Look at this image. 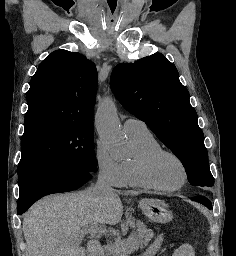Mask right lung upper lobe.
<instances>
[{
  "instance_id": "obj_1",
  "label": "right lung upper lobe",
  "mask_w": 236,
  "mask_h": 256,
  "mask_svg": "<svg viewBox=\"0 0 236 256\" xmlns=\"http://www.w3.org/2000/svg\"><path fill=\"white\" fill-rule=\"evenodd\" d=\"M96 91L94 63L79 53L54 51L43 60L30 81L25 122L55 119L93 123Z\"/></svg>"
}]
</instances>
